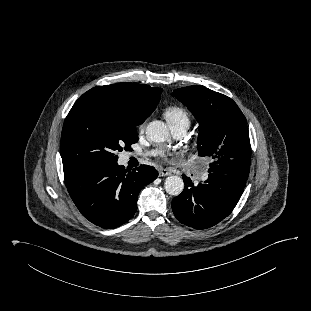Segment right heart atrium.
<instances>
[{"instance_id": "d8ad5b80", "label": "right heart atrium", "mask_w": 311, "mask_h": 311, "mask_svg": "<svg viewBox=\"0 0 311 311\" xmlns=\"http://www.w3.org/2000/svg\"><path fill=\"white\" fill-rule=\"evenodd\" d=\"M139 129L142 131L144 129V123H141Z\"/></svg>"}]
</instances>
